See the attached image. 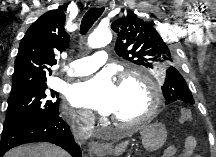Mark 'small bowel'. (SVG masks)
Segmentation results:
<instances>
[{
  "label": "small bowel",
  "instance_id": "small-bowel-1",
  "mask_svg": "<svg viewBox=\"0 0 216 157\" xmlns=\"http://www.w3.org/2000/svg\"><path fill=\"white\" fill-rule=\"evenodd\" d=\"M197 146V141L193 136H188L185 138V142H184V149L181 152V157H190ZM176 154V148L173 146L168 147L165 152H164V156L165 157H172Z\"/></svg>",
  "mask_w": 216,
  "mask_h": 157
}]
</instances>
